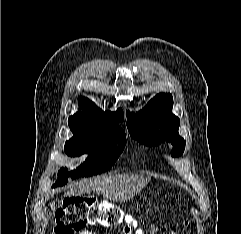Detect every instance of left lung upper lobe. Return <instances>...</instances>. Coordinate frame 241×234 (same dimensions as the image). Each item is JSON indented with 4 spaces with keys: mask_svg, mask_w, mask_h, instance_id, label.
Listing matches in <instances>:
<instances>
[{
    "mask_svg": "<svg viewBox=\"0 0 241 234\" xmlns=\"http://www.w3.org/2000/svg\"><path fill=\"white\" fill-rule=\"evenodd\" d=\"M172 106V95L160 93L136 115L127 112V128L130 135L143 144L171 143V154L178 157L183 154L185 140L178 134L180 119L172 114Z\"/></svg>",
    "mask_w": 241,
    "mask_h": 234,
    "instance_id": "left-lung-upper-lobe-1",
    "label": "left lung upper lobe"
}]
</instances>
